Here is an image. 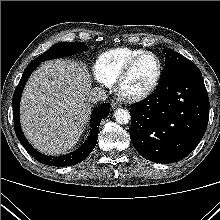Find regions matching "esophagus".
Segmentation results:
<instances>
[{
  "label": "esophagus",
  "mask_w": 220,
  "mask_h": 220,
  "mask_svg": "<svg viewBox=\"0 0 220 220\" xmlns=\"http://www.w3.org/2000/svg\"><path fill=\"white\" fill-rule=\"evenodd\" d=\"M119 106H120V104H119L118 102L112 101L111 107H112L113 109H116V108L119 107Z\"/></svg>",
  "instance_id": "34e87169"
}]
</instances>
